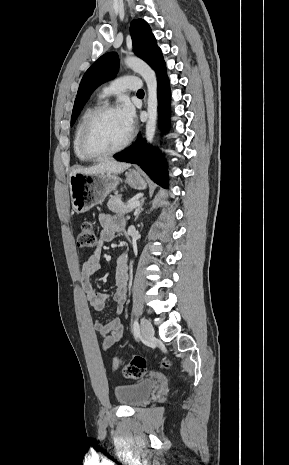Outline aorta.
Wrapping results in <instances>:
<instances>
[{
	"instance_id": "aorta-1",
	"label": "aorta",
	"mask_w": 289,
	"mask_h": 465,
	"mask_svg": "<svg viewBox=\"0 0 289 465\" xmlns=\"http://www.w3.org/2000/svg\"><path fill=\"white\" fill-rule=\"evenodd\" d=\"M125 65L138 73L146 82L148 98H147V113L148 120L146 123V140L148 144L153 142L156 123H157V110H158V98H157V76L154 70L147 65L144 61L137 57L127 56L124 59Z\"/></svg>"
}]
</instances>
